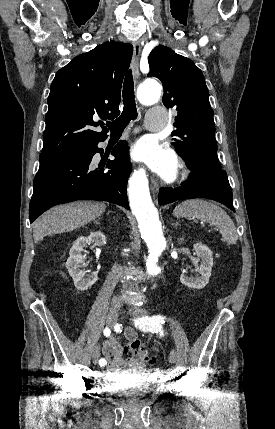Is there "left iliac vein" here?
I'll return each instance as SVG.
<instances>
[{
    "label": "left iliac vein",
    "instance_id": "left-iliac-vein-1",
    "mask_svg": "<svg viewBox=\"0 0 275 429\" xmlns=\"http://www.w3.org/2000/svg\"><path fill=\"white\" fill-rule=\"evenodd\" d=\"M129 312L138 318H144L147 315V311L145 309L140 308V307H133L129 310ZM177 359H178V353L175 349H173L170 352L169 361H170V363L174 364L177 362Z\"/></svg>",
    "mask_w": 275,
    "mask_h": 429
}]
</instances>
